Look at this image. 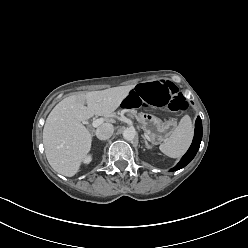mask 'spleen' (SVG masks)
Instances as JSON below:
<instances>
[{"label": "spleen", "instance_id": "1", "mask_svg": "<svg viewBox=\"0 0 248 248\" xmlns=\"http://www.w3.org/2000/svg\"><path fill=\"white\" fill-rule=\"evenodd\" d=\"M192 138V121L188 115H185L173 130L170 137L159 146V149L171 158H178L188 150Z\"/></svg>", "mask_w": 248, "mask_h": 248}]
</instances>
